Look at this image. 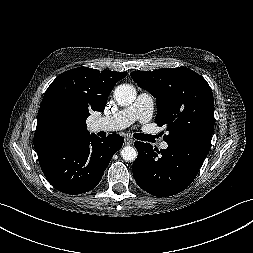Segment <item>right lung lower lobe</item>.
Returning <instances> with one entry per match:
<instances>
[{"instance_id":"1","label":"right lung lower lobe","mask_w":253,"mask_h":253,"mask_svg":"<svg viewBox=\"0 0 253 253\" xmlns=\"http://www.w3.org/2000/svg\"><path fill=\"white\" fill-rule=\"evenodd\" d=\"M123 137L95 134L76 140H55L37 150L41 169L50 184L71 195L88 192L100 182Z\"/></svg>"}]
</instances>
